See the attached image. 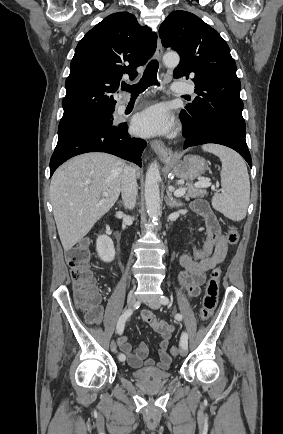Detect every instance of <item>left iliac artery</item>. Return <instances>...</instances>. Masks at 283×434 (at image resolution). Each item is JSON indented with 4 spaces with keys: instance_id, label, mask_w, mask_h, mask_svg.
<instances>
[{
    "instance_id": "left-iliac-artery-1",
    "label": "left iliac artery",
    "mask_w": 283,
    "mask_h": 434,
    "mask_svg": "<svg viewBox=\"0 0 283 434\" xmlns=\"http://www.w3.org/2000/svg\"><path fill=\"white\" fill-rule=\"evenodd\" d=\"M160 302L163 305H167L169 303V299L166 296H161L160 297ZM175 318L180 321V320H182V315L179 314V313H177L175 315ZM180 345L183 348H187L188 347V334L186 332H183L182 335H181Z\"/></svg>"
}]
</instances>
